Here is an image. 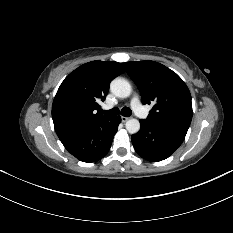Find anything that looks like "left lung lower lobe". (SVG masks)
<instances>
[{
    "label": "left lung lower lobe",
    "mask_w": 233,
    "mask_h": 233,
    "mask_svg": "<svg viewBox=\"0 0 233 233\" xmlns=\"http://www.w3.org/2000/svg\"><path fill=\"white\" fill-rule=\"evenodd\" d=\"M141 130L132 136L135 151L142 158L158 162L168 158L184 141L186 134L140 120Z\"/></svg>",
    "instance_id": "0a47b994"
}]
</instances>
